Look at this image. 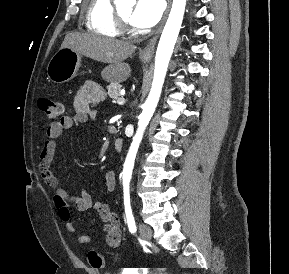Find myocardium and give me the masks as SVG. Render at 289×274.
I'll return each instance as SVG.
<instances>
[{"instance_id":"obj_1","label":"myocardium","mask_w":289,"mask_h":274,"mask_svg":"<svg viewBox=\"0 0 289 274\" xmlns=\"http://www.w3.org/2000/svg\"><path fill=\"white\" fill-rule=\"evenodd\" d=\"M115 18H116V22H117L121 31H123V32L132 31V27H131L129 20L122 17L120 15V13L118 12V10H115Z\"/></svg>"}]
</instances>
